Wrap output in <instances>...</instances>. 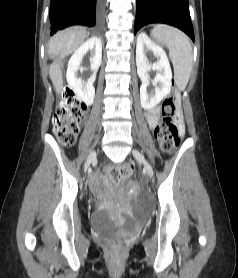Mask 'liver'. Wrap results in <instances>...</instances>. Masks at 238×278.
<instances>
[{
    "instance_id": "6515ba94",
    "label": "liver",
    "mask_w": 238,
    "mask_h": 278,
    "mask_svg": "<svg viewBox=\"0 0 238 278\" xmlns=\"http://www.w3.org/2000/svg\"><path fill=\"white\" fill-rule=\"evenodd\" d=\"M88 36L85 28L75 26L57 33L50 39L48 48L53 63L49 67V76L58 95L63 89L60 60L74 52Z\"/></svg>"
}]
</instances>
